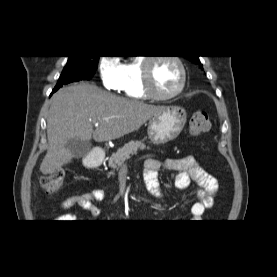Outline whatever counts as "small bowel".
I'll list each match as a JSON object with an SVG mask.
<instances>
[{
  "instance_id": "c3829d8e",
  "label": "small bowel",
  "mask_w": 277,
  "mask_h": 277,
  "mask_svg": "<svg viewBox=\"0 0 277 277\" xmlns=\"http://www.w3.org/2000/svg\"><path fill=\"white\" fill-rule=\"evenodd\" d=\"M161 167L177 172L175 186L178 189L185 190L191 183L198 186V201L191 207V214L194 218L199 219L207 208L213 206L215 196L219 190V182L202 168L194 156L170 158L163 163L155 158L146 160L143 172L144 181L149 192L157 198L162 196L158 181V171ZM105 199L106 192L103 189H94L66 198L62 203V207L68 209L72 206H79L90 213L91 219H95L100 214L96 204ZM57 219L61 220L60 222H69L67 220L73 219V216L63 214Z\"/></svg>"
}]
</instances>
